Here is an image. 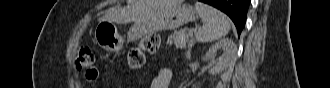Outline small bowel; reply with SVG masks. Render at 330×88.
I'll return each mask as SVG.
<instances>
[{
	"mask_svg": "<svg viewBox=\"0 0 330 88\" xmlns=\"http://www.w3.org/2000/svg\"><path fill=\"white\" fill-rule=\"evenodd\" d=\"M170 71L161 69L153 79L150 88H167L170 80Z\"/></svg>",
	"mask_w": 330,
	"mask_h": 88,
	"instance_id": "obj_1",
	"label": "small bowel"
}]
</instances>
